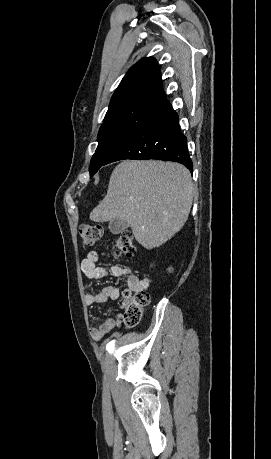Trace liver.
I'll list each match as a JSON object with an SVG mask.
<instances>
[{
	"label": "liver",
	"mask_w": 271,
	"mask_h": 459,
	"mask_svg": "<svg viewBox=\"0 0 271 459\" xmlns=\"http://www.w3.org/2000/svg\"><path fill=\"white\" fill-rule=\"evenodd\" d=\"M192 200L190 172L182 164L124 160L113 170L107 196L92 210L90 220H124L135 239L152 249L183 228Z\"/></svg>",
	"instance_id": "obj_1"
}]
</instances>
